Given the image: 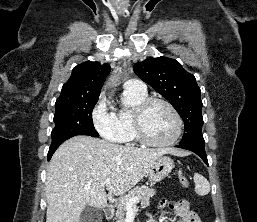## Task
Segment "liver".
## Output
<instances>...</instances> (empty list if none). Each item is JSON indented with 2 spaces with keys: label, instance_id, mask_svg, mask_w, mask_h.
Wrapping results in <instances>:
<instances>
[{
  "label": "liver",
  "instance_id": "liver-1",
  "mask_svg": "<svg viewBox=\"0 0 257 222\" xmlns=\"http://www.w3.org/2000/svg\"><path fill=\"white\" fill-rule=\"evenodd\" d=\"M164 154L184 155L175 149H140L98 138L75 136L51 158L45 193L46 222H79L85 207L104 208L106 189L114 195L130 190ZM107 178L111 179L105 184Z\"/></svg>",
  "mask_w": 257,
  "mask_h": 222
}]
</instances>
